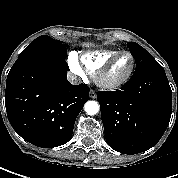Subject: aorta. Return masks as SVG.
Returning a JSON list of instances; mask_svg holds the SVG:
<instances>
[{
    "instance_id": "obj_1",
    "label": "aorta",
    "mask_w": 178,
    "mask_h": 178,
    "mask_svg": "<svg viewBox=\"0 0 178 178\" xmlns=\"http://www.w3.org/2000/svg\"><path fill=\"white\" fill-rule=\"evenodd\" d=\"M84 109L88 115H95L99 112V104L96 101H87Z\"/></svg>"
}]
</instances>
